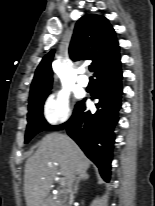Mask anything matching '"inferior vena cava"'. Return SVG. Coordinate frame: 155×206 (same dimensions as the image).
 I'll use <instances>...</instances> for the list:
<instances>
[{
    "label": "inferior vena cava",
    "mask_w": 155,
    "mask_h": 206,
    "mask_svg": "<svg viewBox=\"0 0 155 206\" xmlns=\"http://www.w3.org/2000/svg\"><path fill=\"white\" fill-rule=\"evenodd\" d=\"M69 195H70V200H71V198L73 196V191H72V187L71 186L69 187Z\"/></svg>",
    "instance_id": "inferior-vena-cava-1"
}]
</instances>
